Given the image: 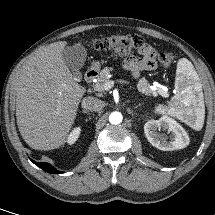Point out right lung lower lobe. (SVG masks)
Masks as SVG:
<instances>
[{"label": "right lung lower lobe", "instance_id": "98d812e1", "mask_svg": "<svg viewBox=\"0 0 215 215\" xmlns=\"http://www.w3.org/2000/svg\"><path fill=\"white\" fill-rule=\"evenodd\" d=\"M34 164H36L38 167L43 169L44 171L48 173H62V171L56 170L51 164L49 163H42V162H35L31 160Z\"/></svg>", "mask_w": 215, "mask_h": 215}]
</instances>
